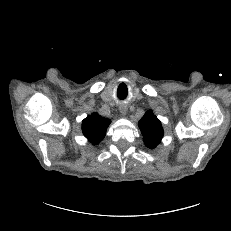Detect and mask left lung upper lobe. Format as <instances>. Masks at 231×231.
I'll return each mask as SVG.
<instances>
[{
    "label": "left lung upper lobe",
    "mask_w": 231,
    "mask_h": 231,
    "mask_svg": "<svg viewBox=\"0 0 231 231\" xmlns=\"http://www.w3.org/2000/svg\"><path fill=\"white\" fill-rule=\"evenodd\" d=\"M139 127L145 145L150 149L155 148L163 137V128L160 120L149 110L139 121Z\"/></svg>",
    "instance_id": "left-lung-upper-lobe-1"
}]
</instances>
